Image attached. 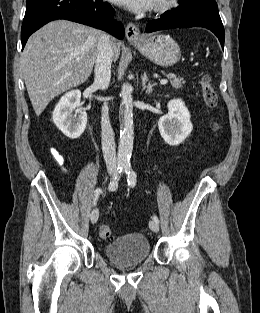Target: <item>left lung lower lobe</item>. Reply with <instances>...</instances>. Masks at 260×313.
<instances>
[{"label": "left lung lower lobe", "instance_id": "obj_1", "mask_svg": "<svg viewBox=\"0 0 260 313\" xmlns=\"http://www.w3.org/2000/svg\"><path fill=\"white\" fill-rule=\"evenodd\" d=\"M203 27L211 30L224 47V27L219 14L203 11H167L155 21L148 23L147 32L172 28Z\"/></svg>", "mask_w": 260, "mask_h": 313}]
</instances>
